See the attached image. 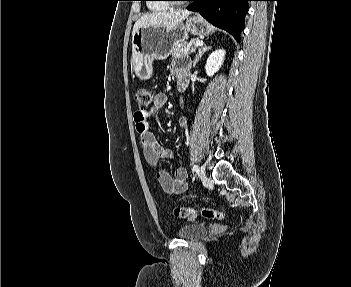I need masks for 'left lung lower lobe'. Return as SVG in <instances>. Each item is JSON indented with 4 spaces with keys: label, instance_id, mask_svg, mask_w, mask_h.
<instances>
[{
    "label": "left lung lower lobe",
    "instance_id": "left-lung-lower-lobe-1",
    "mask_svg": "<svg viewBox=\"0 0 351 287\" xmlns=\"http://www.w3.org/2000/svg\"><path fill=\"white\" fill-rule=\"evenodd\" d=\"M187 9L199 12L207 21L231 33L237 41L244 28V16L251 0H189Z\"/></svg>",
    "mask_w": 351,
    "mask_h": 287
}]
</instances>
